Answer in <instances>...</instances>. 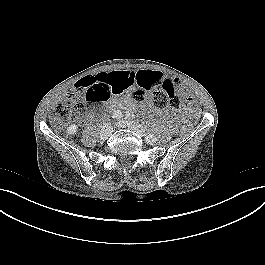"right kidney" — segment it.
<instances>
[{
  "label": "right kidney",
  "instance_id": "ca27d5eb",
  "mask_svg": "<svg viewBox=\"0 0 265 265\" xmlns=\"http://www.w3.org/2000/svg\"><path fill=\"white\" fill-rule=\"evenodd\" d=\"M77 131H78V127L75 124L69 125V127H67V133L69 135H74L77 133Z\"/></svg>",
  "mask_w": 265,
  "mask_h": 265
}]
</instances>
